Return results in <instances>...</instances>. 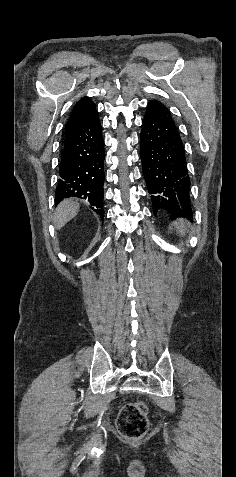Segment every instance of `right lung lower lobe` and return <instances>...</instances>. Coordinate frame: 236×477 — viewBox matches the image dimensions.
<instances>
[{
  "label": "right lung lower lobe",
  "instance_id": "right-lung-lower-lobe-1",
  "mask_svg": "<svg viewBox=\"0 0 236 477\" xmlns=\"http://www.w3.org/2000/svg\"><path fill=\"white\" fill-rule=\"evenodd\" d=\"M104 158L101 125L96 111L81 128L65 137L55 204L68 197L84 199L103 219Z\"/></svg>",
  "mask_w": 236,
  "mask_h": 477
}]
</instances>
